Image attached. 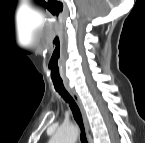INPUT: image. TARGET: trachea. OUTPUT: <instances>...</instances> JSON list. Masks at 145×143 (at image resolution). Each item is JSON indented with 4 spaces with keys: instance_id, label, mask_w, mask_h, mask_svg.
Listing matches in <instances>:
<instances>
[{
    "instance_id": "obj_1",
    "label": "trachea",
    "mask_w": 145,
    "mask_h": 143,
    "mask_svg": "<svg viewBox=\"0 0 145 143\" xmlns=\"http://www.w3.org/2000/svg\"><path fill=\"white\" fill-rule=\"evenodd\" d=\"M53 84H54L55 90L69 104L72 110L74 119L76 120L77 124L79 125L81 129V143H88L79 107L77 106L76 102L74 101L72 96L69 94V92L65 89L62 82H53Z\"/></svg>"
}]
</instances>
